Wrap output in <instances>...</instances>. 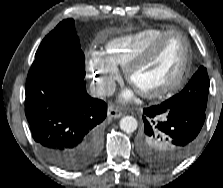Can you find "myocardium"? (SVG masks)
<instances>
[{"mask_svg":"<svg viewBox=\"0 0 223 188\" xmlns=\"http://www.w3.org/2000/svg\"><path fill=\"white\" fill-rule=\"evenodd\" d=\"M179 36L184 43V56L181 63V66L177 72V74L167 83L161 85L160 87L153 90H139L137 91L147 99H158L162 98L170 93H173L177 89L180 88L182 83L184 82L191 59V46L188 38L180 31L170 30L158 37L155 41H153L148 47H146L138 57L133 60L126 68H125V77L129 84L133 85V74L134 72L141 68L153 55L159 50L160 46L172 36Z\"/></svg>","mask_w":223,"mask_h":188,"instance_id":"myocardium-1","label":"myocardium"}]
</instances>
